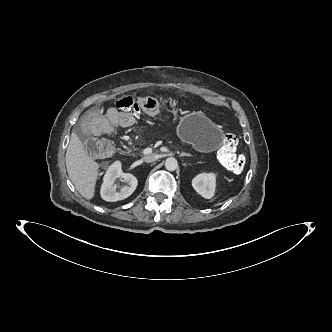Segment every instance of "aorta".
Instances as JSON below:
<instances>
[{
  "instance_id": "762f6f07",
  "label": "aorta",
  "mask_w": 332,
  "mask_h": 332,
  "mask_svg": "<svg viewBox=\"0 0 332 332\" xmlns=\"http://www.w3.org/2000/svg\"><path fill=\"white\" fill-rule=\"evenodd\" d=\"M165 168L168 171H175L178 168V162L174 157H169L165 161Z\"/></svg>"
}]
</instances>
